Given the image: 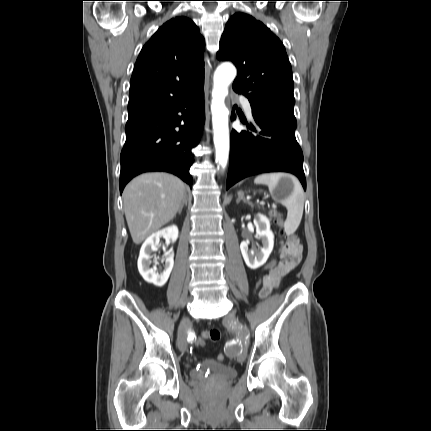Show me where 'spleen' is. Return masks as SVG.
<instances>
[{"label":"spleen","instance_id":"3e777b00","mask_svg":"<svg viewBox=\"0 0 431 431\" xmlns=\"http://www.w3.org/2000/svg\"><path fill=\"white\" fill-rule=\"evenodd\" d=\"M284 177L291 178L294 183L293 193L284 203L288 211L286 221L284 222V230L287 235H291L297 230L304 209V192L298 180L286 173H269L258 175L254 183L265 184L270 189H273L276 187L278 181Z\"/></svg>","mask_w":431,"mask_h":431}]
</instances>
